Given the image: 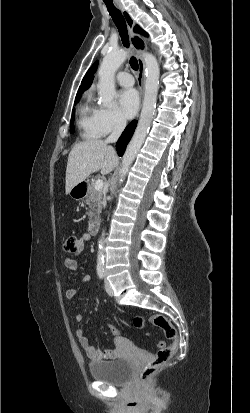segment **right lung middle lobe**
I'll return each instance as SVG.
<instances>
[{
  "instance_id": "obj_1",
  "label": "right lung middle lobe",
  "mask_w": 250,
  "mask_h": 413,
  "mask_svg": "<svg viewBox=\"0 0 250 413\" xmlns=\"http://www.w3.org/2000/svg\"><path fill=\"white\" fill-rule=\"evenodd\" d=\"M80 97L81 96H77L75 98V104L79 101ZM74 117H75V114H74V112H72V118H71V121H70V132L71 133L74 132V126H73Z\"/></svg>"
}]
</instances>
